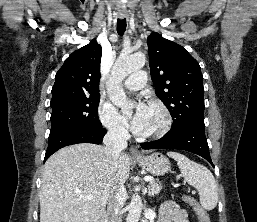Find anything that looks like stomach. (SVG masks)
Listing matches in <instances>:
<instances>
[{"label":"stomach","instance_id":"0dacf381","mask_svg":"<svg viewBox=\"0 0 257 222\" xmlns=\"http://www.w3.org/2000/svg\"><path fill=\"white\" fill-rule=\"evenodd\" d=\"M135 161L153 175L161 176L170 170V162L161 153H153L149 156L135 159Z\"/></svg>","mask_w":257,"mask_h":222}]
</instances>
